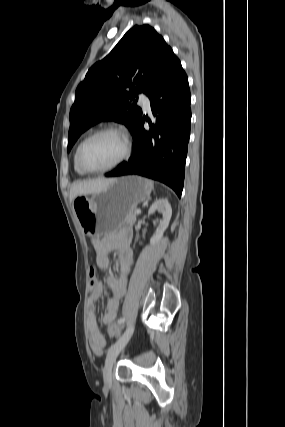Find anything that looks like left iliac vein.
Returning a JSON list of instances; mask_svg holds the SVG:
<instances>
[{
	"instance_id": "left-iliac-vein-1",
	"label": "left iliac vein",
	"mask_w": 285,
	"mask_h": 427,
	"mask_svg": "<svg viewBox=\"0 0 285 427\" xmlns=\"http://www.w3.org/2000/svg\"><path fill=\"white\" fill-rule=\"evenodd\" d=\"M134 331V325H130L123 335L113 344L108 352L105 361V366L103 368V379L107 386L111 385L112 381V366L119 355V353L125 348L128 341L130 340Z\"/></svg>"
}]
</instances>
